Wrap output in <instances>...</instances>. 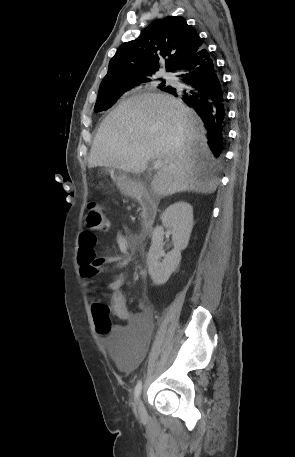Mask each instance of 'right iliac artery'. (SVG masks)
Returning <instances> with one entry per match:
<instances>
[{"label": "right iliac artery", "mask_w": 295, "mask_h": 457, "mask_svg": "<svg viewBox=\"0 0 295 457\" xmlns=\"http://www.w3.org/2000/svg\"><path fill=\"white\" fill-rule=\"evenodd\" d=\"M141 390H142V382L141 381H138L136 387H135V391H134V395H135V400H137L141 394Z\"/></svg>", "instance_id": "right-iliac-artery-1"}]
</instances>
